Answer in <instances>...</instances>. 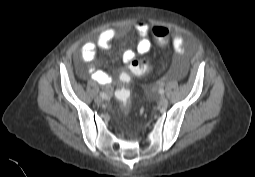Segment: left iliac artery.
<instances>
[{"mask_svg": "<svg viewBox=\"0 0 255 177\" xmlns=\"http://www.w3.org/2000/svg\"><path fill=\"white\" fill-rule=\"evenodd\" d=\"M159 93H160V94H164V89H162V88L159 89Z\"/></svg>", "mask_w": 255, "mask_h": 177, "instance_id": "left-iliac-artery-1", "label": "left iliac artery"}]
</instances>
